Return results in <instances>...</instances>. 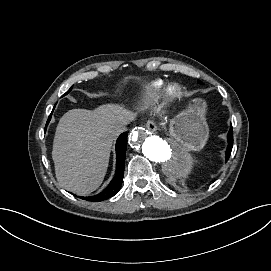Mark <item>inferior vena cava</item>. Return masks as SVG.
<instances>
[{
	"mask_svg": "<svg viewBox=\"0 0 271 271\" xmlns=\"http://www.w3.org/2000/svg\"><path fill=\"white\" fill-rule=\"evenodd\" d=\"M126 130H127V127L125 126V124H122L117 128L116 132L121 133V132H124Z\"/></svg>",
	"mask_w": 271,
	"mask_h": 271,
	"instance_id": "inferior-vena-cava-1",
	"label": "inferior vena cava"
}]
</instances>
